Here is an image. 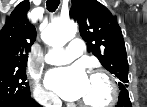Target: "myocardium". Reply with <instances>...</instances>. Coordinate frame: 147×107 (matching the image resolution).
Listing matches in <instances>:
<instances>
[{
	"label": "myocardium",
	"mask_w": 147,
	"mask_h": 107,
	"mask_svg": "<svg viewBox=\"0 0 147 107\" xmlns=\"http://www.w3.org/2000/svg\"><path fill=\"white\" fill-rule=\"evenodd\" d=\"M90 78H101L105 81L109 90L108 98L102 103H88L80 101L79 104L82 107H109L115 104L118 99V86L115 79L103 70H94L91 73Z\"/></svg>",
	"instance_id": "myocardium-1"
}]
</instances>
